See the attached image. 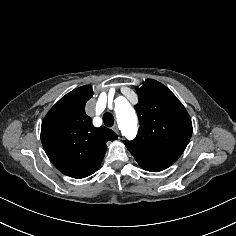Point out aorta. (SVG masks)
<instances>
[{
    "label": "aorta",
    "mask_w": 236,
    "mask_h": 236,
    "mask_svg": "<svg viewBox=\"0 0 236 236\" xmlns=\"http://www.w3.org/2000/svg\"><path fill=\"white\" fill-rule=\"evenodd\" d=\"M118 125L123 135L133 138L137 132V116L126 99H119L115 104Z\"/></svg>",
    "instance_id": "obj_1"
}]
</instances>
